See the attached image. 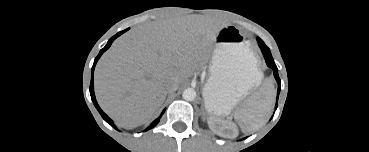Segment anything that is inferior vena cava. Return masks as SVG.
<instances>
[{
    "mask_svg": "<svg viewBox=\"0 0 369 152\" xmlns=\"http://www.w3.org/2000/svg\"><path fill=\"white\" fill-rule=\"evenodd\" d=\"M178 82L177 81H174V80H169L167 82V85H166V88H167V91H176L178 89Z\"/></svg>",
    "mask_w": 369,
    "mask_h": 152,
    "instance_id": "602c4592",
    "label": "inferior vena cava"
}]
</instances>
